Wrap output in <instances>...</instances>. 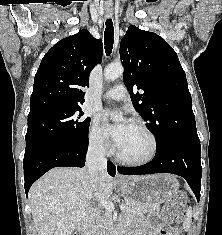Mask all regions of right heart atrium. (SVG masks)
<instances>
[{
	"mask_svg": "<svg viewBox=\"0 0 222 235\" xmlns=\"http://www.w3.org/2000/svg\"><path fill=\"white\" fill-rule=\"evenodd\" d=\"M89 143L93 150L99 153H107L111 150V142L106 131L98 119H94L89 129Z\"/></svg>",
	"mask_w": 222,
	"mask_h": 235,
	"instance_id": "1",
	"label": "right heart atrium"
}]
</instances>
